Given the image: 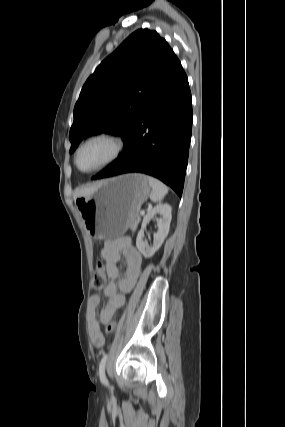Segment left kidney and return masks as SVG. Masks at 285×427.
I'll return each mask as SVG.
<instances>
[{
    "instance_id": "left-kidney-1",
    "label": "left kidney",
    "mask_w": 285,
    "mask_h": 427,
    "mask_svg": "<svg viewBox=\"0 0 285 427\" xmlns=\"http://www.w3.org/2000/svg\"><path fill=\"white\" fill-rule=\"evenodd\" d=\"M157 214H160L162 218L157 219L158 232L154 235L153 246L148 247L147 242L144 241V229L147 224ZM172 219V208L169 204H160L153 208L143 218L141 230L139 231L136 239V246L145 258H150L154 253L161 247L166 236L168 235L170 223Z\"/></svg>"
}]
</instances>
